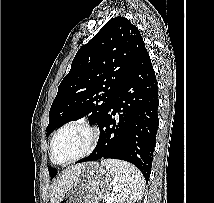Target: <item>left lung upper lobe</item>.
<instances>
[{
  "instance_id": "1",
  "label": "left lung upper lobe",
  "mask_w": 214,
  "mask_h": 203,
  "mask_svg": "<svg viewBox=\"0 0 214 203\" xmlns=\"http://www.w3.org/2000/svg\"><path fill=\"white\" fill-rule=\"evenodd\" d=\"M145 50L139 30L128 19L109 20L78 50L70 72L60 83L49 112L47 136L88 114L89 120L99 125L122 81ZM48 170L51 178L56 176L55 168Z\"/></svg>"
}]
</instances>
